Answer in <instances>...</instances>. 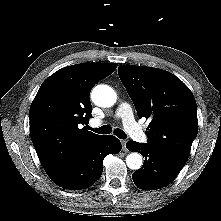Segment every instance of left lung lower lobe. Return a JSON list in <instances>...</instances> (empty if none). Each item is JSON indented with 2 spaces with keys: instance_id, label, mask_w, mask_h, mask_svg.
<instances>
[{
  "instance_id": "left-lung-lower-lobe-1",
  "label": "left lung lower lobe",
  "mask_w": 221,
  "mask_h": 221,
  "mask_svg": "<svg viewBox=\"0 0 221 221\" xmlns=\"http://www.w3.org/2000/svg\"><path fill=\"white\" fill-rule=\"evenodd\" d=\"M126 147L145 158L143 166L132 175L135 185L140 189L156 190L167 186L184 166L149 144L128 141Z\"/></svg>"
}]
</instances>
